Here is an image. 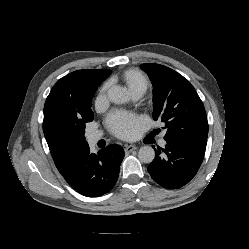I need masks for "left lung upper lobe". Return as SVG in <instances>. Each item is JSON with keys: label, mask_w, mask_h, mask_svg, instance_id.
Returning <instances> with one entry per match:
<instances>
[{"label": "left lung upper lobe", "mask_w": 249, "mask_h": 249, "mask_svg": "<svg viewBox=\"0 0 249 249\" xmlns=\"http://www.w3.org/2000/svg\"><path fill=\"white\" fill-rule=\"evenodd\" d=\"M153 84L152 113L167 128L168 143L191 148L204 154L208 123L205 109L195 88L176 71L159 64H142Z\"/></svg>", "instance_id": "1"}]
</instances>
